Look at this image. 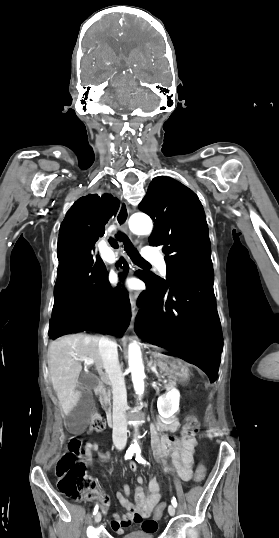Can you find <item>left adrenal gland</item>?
I'll list each match as a JSON object with an SVG mask.
<instances>
[{
  "label": "left adrenal gland",
  "mask_w": 279,
  "mask_h": 538,
  "mask_svg": "<svg viewBox=\"0 0 279 538\" xmlns=\"http://www.w3.org/2000/svg\"><path fill=\"white\" fill-rule=\"evenodd\" d=\"M152 364H153V360H152V358H150V362H149V366H148V368H153ZM155 374H156L157 378H159V380H161V378H160V374H158V372H156V370H155Z\"/></svg>",
  "instance_id": "left-adrenal-gland-1"
}]
</instances>
